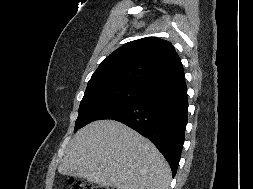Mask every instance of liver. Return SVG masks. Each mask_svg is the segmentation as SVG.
Instances as JSON below:
<instances>
[{
    "instance_id": "6515ba94",
    "label": "liver",
    "mask_w": 253,
    "mask_h": 189,
    "mask_svg": "<svg viewBox=\"0 0 253 189\" xmlns=\"http://www.w3.org/2000/svg\"><path fill=\"white\" fill-rule=\"evenodd\" d=\"M100 186L168 189L171 170L145 137L114 120L94 121L71 140L58 168Z\"/></svg>"
}]
</instances>
